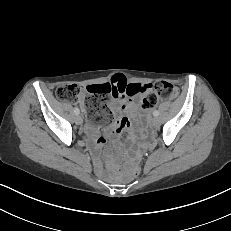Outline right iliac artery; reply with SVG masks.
Masks as SVG:
<instances>
[{"label": "right iliac artery", "mask_w": 231, "mask_h": 231, "mask_svg": "<svg viewBox=\"0 0 231 231\" xmlns=\"http://www.w3.org/2000/svg\"><path fill=\"white\" fill-rule=\"evenodd\" d=\"M74 113L78 115L80 113L79 109L77 107L74 108Z\"/></svg>", "instance_id": "obj_1"}]
</instances>
